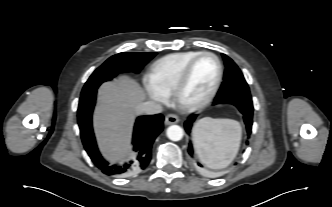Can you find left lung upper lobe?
Here are the masks:
<instances>
[{
	"label": "left lung upper lobe",
	"mask_w": 332,
	"mask_h": 207,
	"mask_svg": "<svg viewBox=\"0 0 332 207\" xmlns=\"http://www.w3.org/2000/svg\"><path fill=\"white\" fill-rule=\"evenodd\" d=\"M226 66L224 82L216 98L241 96L251 97L249 87L238 66L225 54H222Z\"/></svg>",
	"instance_id": "obj_1"
}]
</instances>
